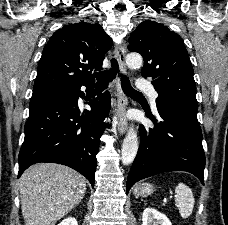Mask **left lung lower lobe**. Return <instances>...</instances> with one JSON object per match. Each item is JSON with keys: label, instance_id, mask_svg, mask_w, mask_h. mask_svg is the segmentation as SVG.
I'll list each match as a JSON object with an SVG mask.
<instances>
[{"label": "left lung lower lobe", "instance_id": "obj_1", "mask_svg": "<svg viewBox=\"0 0 228 225\" xmlns=\"http://www.w3.org/2000/svg\"><path fill=\"white\" fill-rule=\"evenodd\" d=\"M163 119L155 127L140 125V147L130 169L126 192L137 181L168 171H187L204 184L205 155L202 132L197 120L198 108L157 101Z\"/></svg>", "mask_w": 228, "mask_h": 225}]
</instances>
